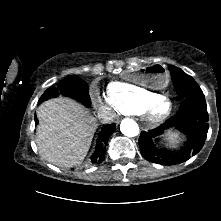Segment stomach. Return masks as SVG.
Returning a JSON list of instances; mask_svg holds the SVG:
<instances>
[{"instance_id": "obj_1", "label": "stomach", "mask_w": 221, "mask_h": 221, "mask_svg": "<svg viewBox=\"0 0 221 221\" xmlns=\"http://www.w3.org/2000/svg\"><path fill=\"white\" fill-rule=\"evenodd\" d=\"M127 79L132 84L160 88L167 83L168 74L161 65L150 64L145 68H130L127 72Z\"/></svg>"}]
</instances>
